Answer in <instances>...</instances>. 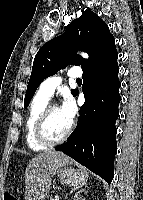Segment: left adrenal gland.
<instances>
[{
    "label": "left adrenal gland",
    "instance_id": "a2214340",
    "mask_svg": "<svg viewBox=\"0 0 143 200\" xmlns=\"http://www.w3.org/2000/svg\"><path fill=\"white\" fill-rule=\"evenodd\" d=\"M84 192V195H87L86 189H81L80 191L76 192L74 195L73 200H86L85 197L81 196L80 194Z\"/></svg>",
    "mask_w": 143,
    "mask_h": 200
}]
</instances>
